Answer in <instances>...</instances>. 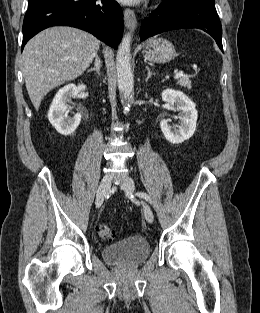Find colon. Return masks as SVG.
I'll return each instance as SVG.
<instances>
[{
	"label": "colon",
	"mask_w": 260,
	"mask_h": 313,
	"mask_svg": "<svg viewBox=\"0 0 260 313\" xmlns=\"http://www.w3.org/2000/svg\"><path fill=\"white\" fill-rule=\"evenodd\" d=\"M98 235L104 240H112L114 237L113 231L107 225H99L97 227Z\"/></svg>",
	"instance_id": "obj_1"
}]
</instances>
